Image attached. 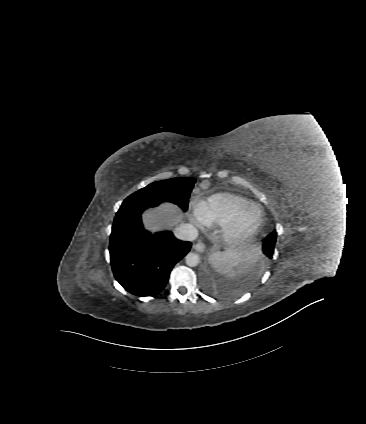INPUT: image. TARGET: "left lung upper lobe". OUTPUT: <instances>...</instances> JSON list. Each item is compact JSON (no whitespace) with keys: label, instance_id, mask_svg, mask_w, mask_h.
Returning a JSON list of instances; mask_svg holds the SVG:
<instances>
[{"label":"left lung upper lobe","instance_id":"obj_1","mask_svg":"<svg viewBox=\"0 0 366 424\" xmlns=\"http://www.w3.org/2000/svg\"><path fill=\"white\" fill-rule=\"evenodd\" d=\"M277 239V233L276 231L269 234L266 239L263 240V252L266 254L269 258H272L275 243Z\"/></svg>","mask_w":366,"mask_h":424}]
</instances>
